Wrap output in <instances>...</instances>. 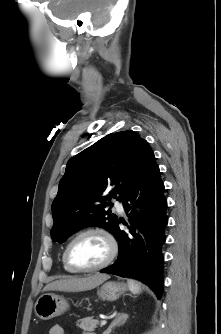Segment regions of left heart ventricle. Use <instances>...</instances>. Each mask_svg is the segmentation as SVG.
Returning <instances> with one entry per match:
<instances>
[{"mask_svg": "<svg viewBox=\"0 0 221 334\" xmlns=\"http://www.w3.org/2000/svg\"><path fill=\"white\" fill-rule=\"evenodd\" d=\"M108 253L109 246L105 238L91 233L74 242L70 249V260L77 267H92L104 261Z\"/></svg>", "mask_w": 221, "mask_h": 334, "instance_id": "obj_1", "label": "left heart ventricle"}]
</instances>
